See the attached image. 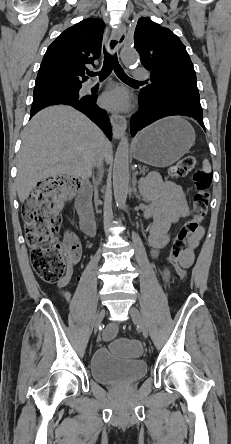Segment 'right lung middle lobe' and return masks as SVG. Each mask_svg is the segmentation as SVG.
Segmentation results:
<instances>
[{
  "instance_id": "1",
  "label": "right lung middle lobe",
  "mask_w": 231,
  "mask_h": 444,
  "mask_svg": "<svg viewBox=\"0 0 231 444\" xmlns=\"http://www.w3.org/2000/svg\"><path fill=\"white\" fill-rule=\"evenodd\" d=\"M81 88V85H56L50 89H48L47 91L43 92H63V93H68V94H75L79 96V90ZM37 94H41V93H36L34 92V95Z\"/></svg>"
}]
</instances>
